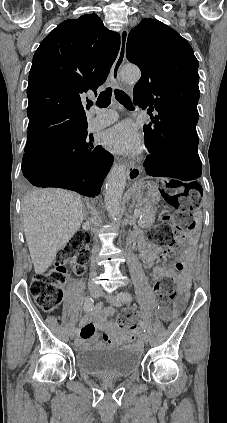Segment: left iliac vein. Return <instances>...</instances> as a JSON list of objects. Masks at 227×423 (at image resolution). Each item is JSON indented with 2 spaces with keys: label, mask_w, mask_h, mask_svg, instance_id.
I'll list each match as a JSON object with an SVG mask.
<instances>
[{
  "label": "left iliac vein",
  "mask_w": 227,
  "mask_h": 423,
  "mask_svg": "<svg viewBox=\"0 0 227 423\" xmlns=\"http://www.w3.org/2000/svg\"><path fill=\"white\" fill-rule=\"evenodd\" d=\"M124 293H118L116 296H107L103 291H101L100 296H102L103 298H105L106 300L110 301L113 305L119 307L121 306L122 301L120 300V297L123 295ZM143 341L145 343H148L149 341V337L146 333L143 334Z\"/></svg>",
  "instance_id": "left-iliac-vein-1"
}]
</instances>
